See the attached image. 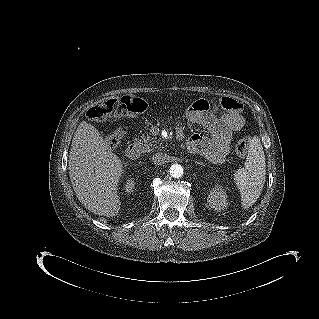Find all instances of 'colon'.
<instances>
[{
    "label": "colon",
    "instance_id": "obj_1",
    "mask_svg": "<svg viewBox=\"0 0 319 319\" xmlns=\"http://www.w3.org/2000/svg\"><path fill=\"white\" fill-rule=\"evenodd\" d=\"M218 105L230 111H240L242 103L231 97H222L218 100ZM146 102L140 98L132 96H122L120 98L109 99L103 103L94 105L87 111V117L95 122H102L108 118H119L126 115H136L145 111ZM126 134L124 127L114 129L106 136V143L110 148H116ZM250 138L240 140L235 147V154L243 156L249 147Z\"/></svg>",
    "mask_w": 319,
    "mask_h": 319
}]
</instances>
